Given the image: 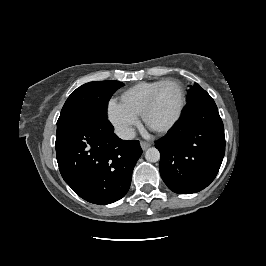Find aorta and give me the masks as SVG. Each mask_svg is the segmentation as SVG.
I'll use <instances>...</instances> for the list:
<instances>
[{
    "label": "aorta",
    "instance_id": "1",
    "mask_svg": "<svg viewBox=\"0 0 266 266\" xmlns=\"http://www.w3.org/2000/svg\"><path fill=\"white\" fill-rule=\"evenodd\" d=\"M145 159L149 162L155 163L160 160V153L157 148H148L145 152Z\"/></svg>",
    "mask_w": 266,
    "mask_h": 266
}]
</instances>
